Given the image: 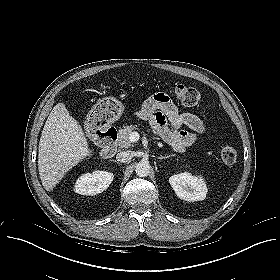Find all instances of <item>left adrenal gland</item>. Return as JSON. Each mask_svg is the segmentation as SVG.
<instances>
[{
	"mask_svg": "<svg viewBox=\"0 0 280 280\" xmlns=\"http://www.w3.org/2000/svg\"><path fill=\"white\" fill-rule=\"evenodd\" d=\"M171 156H173V155H167V156H166V155H165V156H159V157H158V159H161V160H162V159H166V158H169V157H171Z\"/></svg>",
	"mask_w": 280,
	"mask_h": 280,
	"instance_id": "left-adrenal-gland-1",
	"label": "left adrenal gland"
}]
</instances>
